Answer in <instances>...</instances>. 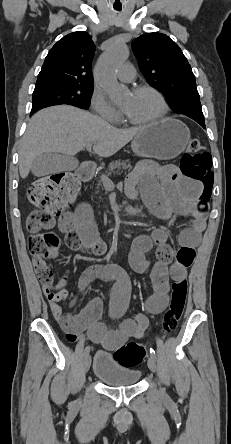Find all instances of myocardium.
Returning a JSON list of instances; mask_svg holds the SVG:
<instances>
[{
  "label": "myocardium",
  "instance_id": "obj_1",
  "mask_svg": "<svg viewBox=\"0 0 231 444\" xmlns=\"http://www.w3.org/2000/svg\"><path fill=\"white\" fill-rule=\"evenodd\" d=\"M142 92H151L153 93L155 96L158 97V99L161 102L162 105V110L160 112L159 115H157L154 118L148 119V120H144V121H136L131 119L130 117H128L125 113H124V119L126 122H128L129 124L132 125H138V126H143V125H151V124H155L160 122L161 120H163L168 112H169V104L168 101L166 99V97L164 96V94L158 90L157 88L150 86V85H142V86H138L132 89L133 94H138V93H142Z\"/></svg>",
  "mask_w": 231,
  "mask_h": 444
}]
</instances>
